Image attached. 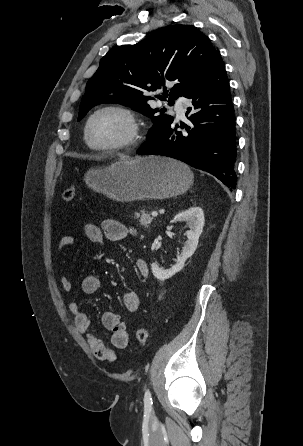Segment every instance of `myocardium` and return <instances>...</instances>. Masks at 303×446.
I'll return each instance as SVG.
<instances>
[{
  "label": "myocardium",
  "mask_w": 303,
  "mask_h": 446,
  "mask_svg": "<svg viewBox=\"0 0 303 446\" xmlns=\"http://www.w3.org/2000/svg\"><path fill=\"white\" fill-rule=\"evenodd\" d=\"M104 112H114L121 115L126 120L129 127V131L127 136L118 143L108 146H96L92 144V142L90 141L89 129L94 118ZM141 132H142L141 120L133 109L122 105L109 104L97 108L89 115L84 127V139L88 147L92 150L100 152H115L126 149L137 143L141 137Z\"/></svg>",
  "instance_id": "1"
}]
</instances>
